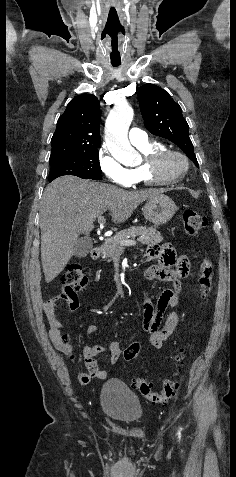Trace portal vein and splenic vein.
Segmentation results:
<instances>
[{"mask_svg":"<svg viewBox=\"0 0 236 477\" xmlns=\"http://www.w3.org/2000/svg\"><path fill=\"white\" fill-rule=\"evenodd\" d=\"M105 222V218L103 216L98 217V223L102 226ZM120 246H135L137 242L135 240H121L119 242Z\"/></svg>","mask_w":236,"mask_h":477,"instance_id":"portal-vein-and-splenic-vein-1","label":"portal vein and splenic vein"}]
</instances>
